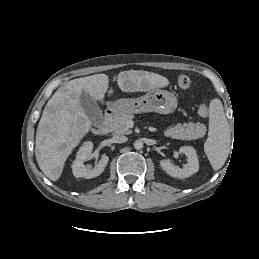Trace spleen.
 <instances>
[{"label": "spleen", "instance_id": "3e777b00", "mask_svg": "<svg viewBox=\"0 0 259 259\" xmlns=\"http://www.w3.org/2000/svg\"><path fill=\"white\" fill-rule=\"evenodd\" d=\"M204 151L215 171L224 165L230 151V129L220 99H213L209 105V132Z\"/></svg>", "mask_w": 259, "mask_h": 259}]
</instances>
